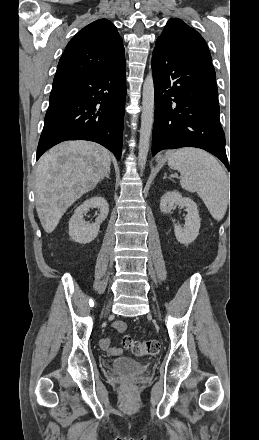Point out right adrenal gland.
<instances>
[{"label": "right adrenal gland", "mask_w": 259, "mask_h": 440, "mask_svg": "<svg viewBox=\"0 0 259 440\" xmlns=\"http://www.w3.org/2000/svg\"><path fill=\"white\" fill-rule=\"evenodd\" d=\"M107 179H110V171L105 175Z\"/></svg>", "instance_id": "right-adrenal-gland-1"}]
</instances>
